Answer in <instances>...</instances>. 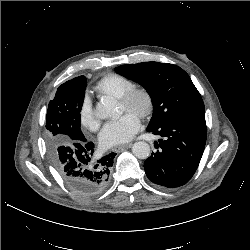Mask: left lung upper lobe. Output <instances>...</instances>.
Returning <instances> with one entry per match:
<instances>
[{
  "mask_svg": "<svg viewBox=\"0 0 250 250\" xmlns=\"http://www.w3.org/2000/svg\"><path fill=\"white\" fill-rule=\"evenodd\" d=\"M120 75L145 87L153 103L148 128L195 116H205L204 103L189 75L180 67L143 62L115 68Z\"/></svg>",
  "mask_w": 250,
  "mask_h": 250,
  "instance_id": "5c2ea615",
  "label": "left lung upper lobe"
}]
</instances>
